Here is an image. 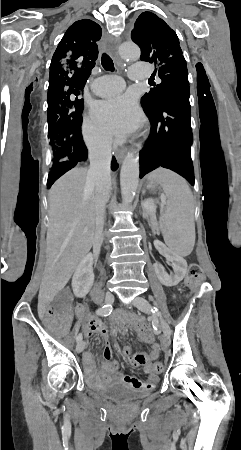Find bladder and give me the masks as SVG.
Instances as JSON below:
<instances>
[{
    "mask_svg": "<svg viewBox=\"0 0 241 450\" xmlns=\"http://www.w3.org/2000/svg\"><path fill=\"white\" fill-rule=\"evenodd\" d=\"M106 397L115 401H132L142 396L140 392L122 383H115L106 386L103 390Z\"/></svg>",
    "mask_w": 241,
    "mask_h": 450,
    "instance_id": "1",
    "label": "bladder"
}]
</instances>
